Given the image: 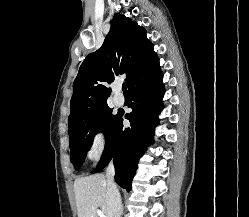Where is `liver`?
Here are the masks:
<instances>
[{
	"label": "liver",
	"instance_id": "1",
	"mask_svg": "<svg viewBox=\"0 0 249 217\" xmlns=\"http://www.w3.org/2000/svg\"><path fill=\"white\" fill-rule=\"evenodd\" d=\"M107 179L95 174L74 181V192L78 217H97V210L109 217L106 201Z\"/></svg>",
	"mask_w": 249,
	"mask_h": 217
}]
</instances>
